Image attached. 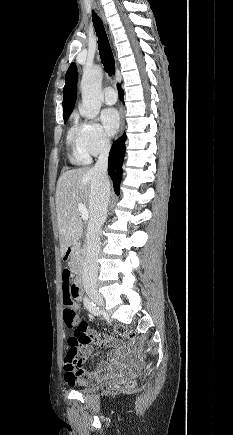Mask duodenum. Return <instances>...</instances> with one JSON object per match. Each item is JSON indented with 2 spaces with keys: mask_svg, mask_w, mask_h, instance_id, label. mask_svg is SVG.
<instances>
[{
  "mask_svg": "<svg viewBox=\"0 0 233 435\" xmlns=\"http://www.w3.org/2000/svg\"><path fill=\"white\" fill-rule=\"evenodd\" d=\"M80 246V241L73 242L67 246V248L64 250L62 258L63 261L67 262L75 250L76 247ZM72 295L76 300H82L83 299V291H82V272H77V277L72 285Z\"/></svg>",
  "mask_w": 233,
  "mask_h": 435,
  "instance_id": "410a0bca",
  "label": "duodenum"
}]
</instances>
